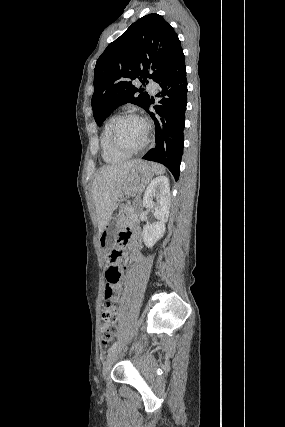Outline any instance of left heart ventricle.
Instances as JSON below:
<instances>
[{
    "label": "left heart ventricle",
    "instance_id": "obj_1",
    "mask_svg": "<svg viewBox=\"0 0 285 427\" xmlns=\"http://www.w3.org/2000/svg\"><path fill=\"white\" fill-rule=\"evenodd\" d=\"M146 136L145 124L138 119H125L117 129L119 141L129 149L138 147Z\"/></svg>",
    "mask_w": 285,
    "mask_h": 427
}]
</instances>
